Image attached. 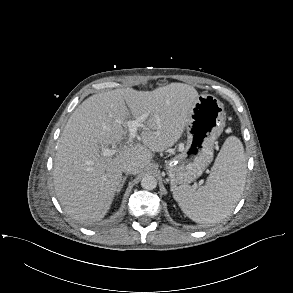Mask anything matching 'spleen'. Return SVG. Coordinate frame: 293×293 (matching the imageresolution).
Listing matches in <instances>:
<instances>
[{"mask_svg":"<svg viewBox=\"0 0 293 293\" xmlns=\"http://www.w3.org/2000/svg\"><path fill=\"white\" fill-rule=\"evenodd\" d=\"M246 159L241 141L228 137L211 168L205 186H178L173 192L181 210L193 221L214 224L229 216L244 190Z\"/></svg>","mask_w":293,"mask_h":293,"instance_id":"obj_1","label":"spleen"}]
</instances>
